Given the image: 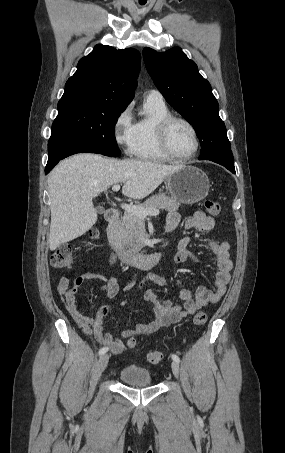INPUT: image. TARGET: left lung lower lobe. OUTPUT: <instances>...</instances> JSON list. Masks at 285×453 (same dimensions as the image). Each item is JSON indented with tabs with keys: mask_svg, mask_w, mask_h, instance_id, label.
Instances as JSON below:
<instances>
[{
	"mask_svg": "<svg viewBox=\"0 0 285 453\" xmlns=\"http://www.w3.org/2000/svg\"><path fill=\"white\" fill-rule=\"evenodd\" d=\"M207 160H210V161H213V162H216L220 165H223L224 167H226L228 170L232 171L233 173H235V167H234V162H228L226 161L225 159L223 158H220V157H214V158H209Z\"/></svg>",
	"mask_w": 285,
	"mask_h": 453,
	"instance_id": "obj_1",
	"label": "left lung lower lobe"
}]
</instances>
